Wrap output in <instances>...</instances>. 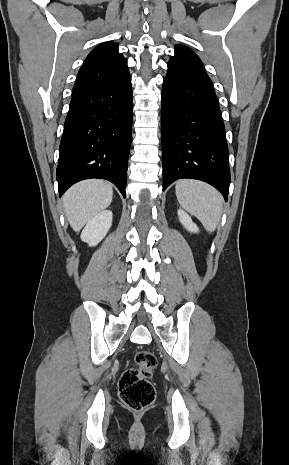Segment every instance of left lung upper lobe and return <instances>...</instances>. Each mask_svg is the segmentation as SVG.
<instances>
[{
  "instance_id": "left-lung-upper-lobe-1",
  "label": "left lung upper lobe",
  "mask_w": 289,
  "mask_h": 465,
  "mask_svg": "<svg viewBox=\"0 0 289 465\" xmlns=\"http://www.w3.org/2000/svg\"><path fill=\"white\" fill-rule=\"evenodd\" d=\"M168 69L206 73L199 57L192 50L182 45L175 47V55L170 58Z\"/></svg>"
}]
</instances>
